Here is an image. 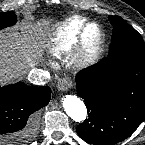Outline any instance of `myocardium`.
<instances>
[{
	"mask_svg": "<svg viewBox=\"0 0 145 145\" xmlns=\"http://www.w3.org/2000/svg\"><path fill=\"white\" fill-rule=\"evenodd\" d=\"M93 27L96 30L94 40L88 37L89 29ZM105 32L102 26L97 22H86L80 29L75 62L78 67L84 68L95 64L101 57L105 46Z\"/></svg>",
	"mask_w": 145,
	"mask_h": 145,
	"instance_id": "obj_1",
	"label": "myocardium"
}]
</instances>
